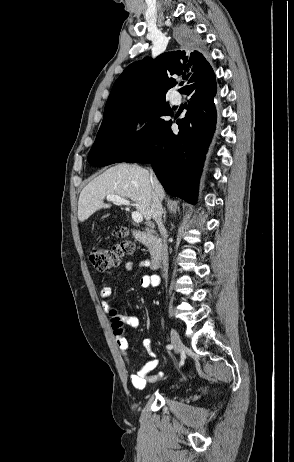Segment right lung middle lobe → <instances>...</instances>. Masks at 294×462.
Masks as SVG:
<instances>
[{"label": "right lung middle lobe", "instance_id": "right-lung-middle-lobe-1", "mask_svg": "<svg viewBox=\"0 0 294 462\" xmlns=\"http://www.w3.org/2000/svg\"><path fill=\"white\" fill-rule=\"evenodd\" d=\"M180 37L192 46H202V41L193 32L183 29ZM170 107L163 99H150L128 110L103 118L96 140L88 155L93 166H105L122 162L128 155L142 146L163 124L162 116L169 114ZM149 121L141 132L135 133L138 121Z\"/></svg>", "mask_w": 294, "mask_h": 462}]
</instances>
